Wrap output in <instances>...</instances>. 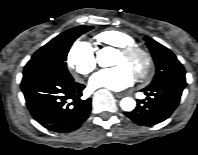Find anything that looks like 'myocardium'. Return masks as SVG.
<instances>
[{
  "label": "myocardium",
  "instance_id": "1",
  "mask_svg": "<svg viewBox=\"0 0 198 155\" xmlns=\"http://www.w3.org/2000/svg\"><path fill=\"white\" fill-rule=\"evenodd\" d=\"M118 52L129 60H140L139 64H137L135 68V73L140 79H145L149 76L153 67V60L147 50L133 44L120 47L118 49Z\"/></svg>",
  "mask_w": 198,
  "mask_h": 155
}]
</instances>
